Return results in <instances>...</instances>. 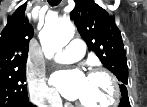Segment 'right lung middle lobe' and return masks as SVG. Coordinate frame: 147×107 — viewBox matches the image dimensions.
I'll list each match as a JSON object with an SVG mask.
<instances>
[{"mask_svg": "<svg viewBox=\"0 0 147 107\" xmlns=\"http://www.w3.org/2000/svg\"><path fill=\"white\" fill-rule=\"evenodd\" d=\"M25 81V67L0 73V107L29 101Z\"/></svg>", "mask_w": 147, "mask_h": 107, "instance_id": "right-lung-middle-lobe-1", "label": "right lung middle lobe"}]
</instances>
